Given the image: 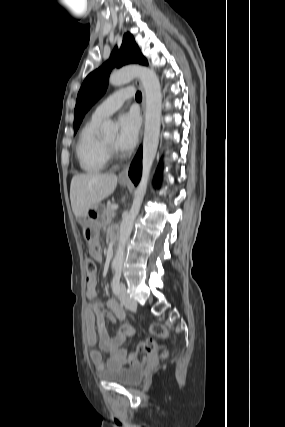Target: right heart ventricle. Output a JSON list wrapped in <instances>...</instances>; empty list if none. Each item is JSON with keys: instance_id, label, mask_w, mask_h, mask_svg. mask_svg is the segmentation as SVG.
<instances>
[{"instance_id": "right-heart-ventricle-1", "label": "right heart ventricle", "mask_w": 285, "mask_h": 427, "mask_svg": "<svg viewBox=\"0 0 285 427\" xmlns=\"http://www.w3.org/2000/svg\"><path fill=\"white\" fill-rule=\"evenodd\" d=\"M101 120L91 118L80 130L75 147V154L82 171L88 174L102 172L108 163L103 138L98 129Z\"/></svg>"}]
</instances>
